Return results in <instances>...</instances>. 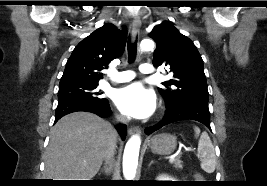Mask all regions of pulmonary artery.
Returning <instances> with one entry per match:
<instances>
[{"label":"pulmonary artery","instance_id":"pulmonary-artery-1","mask_svg":"<svg viewBox=\"0 0 267 186\" xmlns=\"http://www.w3.org/2000/svg\"><path fill=\"white\" fill-rule=\"evenodd\" d=\"M139 70L142 74L153 75L154 67L151 64H142L139 67ZM135 77V73L131 70L119 72L116 75V82H127L132 80Z\"/></svg>","mask_w":267,"mask_h":186}]
</instances>
